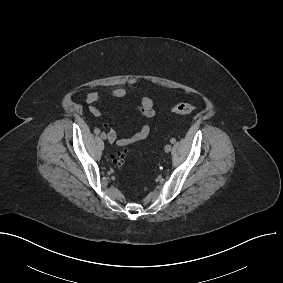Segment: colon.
<instances>
[{
    "mask_svg": "<svg viewBox=\"0 0 283 283\" xmlns=\"http://www.w3.org/2000/svg\"><path fill=\"white\" fill-rule=\"evenodd\" d=\"M193 110H194V107L188 103H178L171 107V111L174 114L180 115V116L189 115L193 112ZM124 155H125L124 152H120L113 157V163L115 167L117 168L121 167V165L123 164Z\"/></svg>",
    "mask_w": 283,
    "mask_h": 283,
    "instance_id": "1",
    "label": "colon"
}]
</instances>
